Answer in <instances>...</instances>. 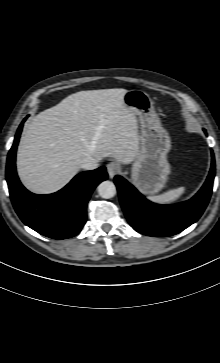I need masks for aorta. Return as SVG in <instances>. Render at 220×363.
<instances>
[{"mask_svg": "<svg viewBox=\"0 0 220 363\" xmlns=\"http://www.w3.org/2000/svg\"><path fill=\"white\" fill-rule=\"evenodd\" d=\"M98 193L104 199H109L115 196L116 186L111 181H103L98 185Z\"/></svg>", "mask_w": 220, "mask_h": 363, "instance_id": "1", "label": "aorta"}]
</instances>
